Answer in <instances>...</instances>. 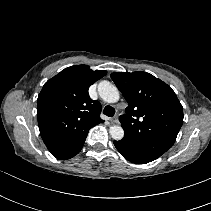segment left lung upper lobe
<instances>
[{
    "mask_svg": "<svg viewBox=\"0 0 211 211\" xmlns=\"http://www.w3.org/2000/svg\"><path fill=\"white\" fill-rule=\"evenodd\" d=\"M111 78L128 102L119 120L123 140L155 160L175 142L183 124V107L166 83L146 72H116Z\"/></svg>",
    "mask_w": 211,
    "mask_h": 211,
    "instance_id": "obj_1",
    "label": "left lung upper lobe"
}]
</instances>
